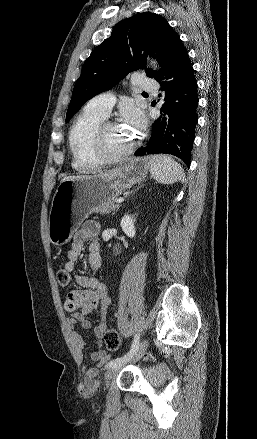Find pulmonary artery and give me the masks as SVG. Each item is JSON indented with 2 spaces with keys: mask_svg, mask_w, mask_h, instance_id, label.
<instances>
[{
  "mask_svg": "<svg viewBox=\"0 0 257 439\" xmlns=\"http://www.w3.org/2000/svg\"><path fill=\"white\" fill-rule=\"evenodd\" d=\"M133 83L143 92L156 95L158 92V85L152 78L144 74H137L133 77ZM115 103V97L111 92H104L98 94L88 101L85 108L95 111L103 116H108Z\"/></svg>",
  "mask_w": 257,
  "mask_h": 439,
  "instance_id": "obj_1",
  "label": "pulmonary artery"
}]
</instances>
